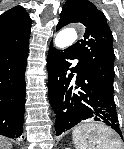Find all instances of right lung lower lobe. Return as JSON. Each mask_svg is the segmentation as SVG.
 <instances>
[{"instance_id":"right-lung-lower-lobe-1","label":"right lung lower lobe","mask_w":124,"mask_h":149,"mask_svg":"<svg viewBox=\"0 0 124 149\" xmlns=\"http://www.w3.org/2000/svg\"><path fill=\"white\" fill-rule=\"evenodd\" d=\"M27 57L28 43L0 49V135L12 139L23 133Z\"/></svg>"}]
</instances>
